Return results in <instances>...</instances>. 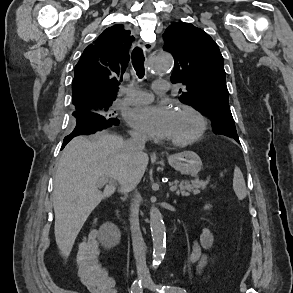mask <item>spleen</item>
<instances>
[{"label":"spleen","mask_w":293,"mask_h":293,"mask_svg":"<svg viewBox=\"0 0 293 293\" xmlns=\"http://www.w3.org/2000/svg\"><path fill=\"white\" fill-rule=\"evenodd\" d=\"M233 189L239 200H243L246 198L247 190L245 180L240 168H238L237 166L234 169Z\"/></svg>","instance_id":"obj_1"}]
</instances>
